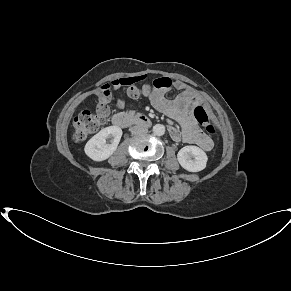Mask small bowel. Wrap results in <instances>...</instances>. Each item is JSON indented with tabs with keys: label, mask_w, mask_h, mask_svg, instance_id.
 Masks as SVG:
<instances>
[{
	"label": "small bowel",
	"mask_w": 291,
	"mask_h": 291,
	"mask_svg": "<svg viewBox=\"0 0 291 291\" xmlns=\"http://www.w3.org/2000/svg\"><path fill=\"white\" fill-rule=\"evenodd\" d=\"M163 80H167L169 85L156 86L150 93L149 100L159 112L173 118L180 125L181 131L176 127H169L171 138L177 142L183 141L187 144L197 145L204 151L211 150L212 140L200 129L188 112V109L198 102L196 95L181 81L172 82L169 78L162 77L156 79V82ZM172 87L181 91V93L175 99H168L166 94ZM115 106L117 109H122L124 106L123 100L117 99Z\"/></svg>",
	"instance_id": "obj_1"
}]
</instances>
